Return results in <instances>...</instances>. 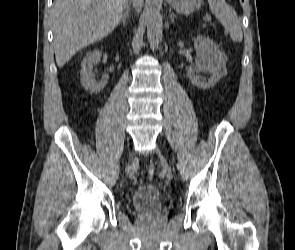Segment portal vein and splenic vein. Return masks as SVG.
<instances>
[{
    "label": "portal vein and splenic vein",
    "mask_w": 295,
    "mask_h": 250,
    "mask_svg": "<svg viewBox=\"0 0 295 250\" xmlns=\"http://www.w3.org/2000/svg\"><path fill=\"white\" fill-rule=\"evenodd\" d=\"M205 20H206V21H210V20H211V16L206 15V16H205Z\"/></svg>",
    "instance_id": "obj_1"
}]
</instances>
